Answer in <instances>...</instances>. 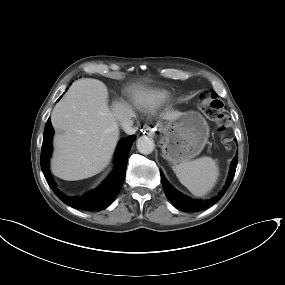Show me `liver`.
Instances as JSON below:
<instances>
[{"label": "liver", "mask_w": 285, "mask_h": 285, "mask_svg": "<svg viewBox=\"0 0 285 285\" xmlns=\"http://www.w3.org/2000/svg\"><path fill=\"white\" fill-rule=\"evenodd\" d=\"M107 88L97 79L75 81L65 97L51 114L53 127L63 132L54 137V154L51 161L55 176L75 181L92 177L109 163L119 139L118 122L132 115L131 108L122 102L107 104ZM137 101L148 97L144 88H135ZM181 114L170 112L165 119Z\"/></svg>", "instance_id": "6515ba94"}]
</instances>
